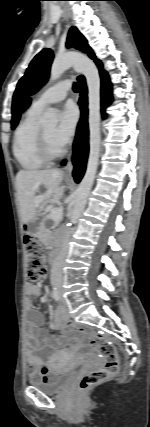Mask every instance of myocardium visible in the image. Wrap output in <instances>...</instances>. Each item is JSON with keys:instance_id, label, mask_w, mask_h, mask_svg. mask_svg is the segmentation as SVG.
Returning <instances> with one entry per match:
<instances>
[{"instance_id": "f54148a6", "label": "myocardium", "mask_w": 150, "mask_h": 427, "mask_svg": "<svg viewBox=\"0 0 150 427\" xmlns=\"http://www.w3.org/2000/svg\"><path fill=\"white\" fill-rule=\"evenodd\" d=\"M37 148L40 158L46 163L61 158L65 152L64 149H60L56 152L51 149L42 128L39 129Z\"/></svg>"}]
</instances>
